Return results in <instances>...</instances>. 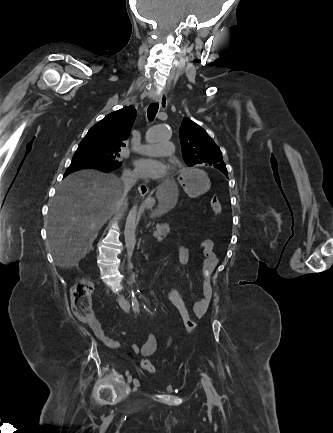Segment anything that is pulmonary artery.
<instances>
[{"label": "pulmonary artery", "mask_w": 333, "mask_h": 433, "mask_svg": "<svg viewBox=\"0 0 333 433\" xmlns=\"http://www.w3.org/2000/svg\"><path fill=\"white\" fill-rule=\"evenodd\" d=\"M134 151L146 156H154V155L167 156L173 153L174 146L170 141H162L156 145H148V144L139 145L134 149Z\"/></svg>", "instance_id": "pulmonary-artery-1"}]
</instances>
